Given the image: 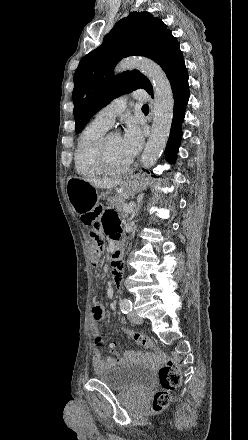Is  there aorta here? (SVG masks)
<instances>
[{
	"label": "aorta",
	"mask_w": 248,
	"mask_h": 440,
	"mask_svg": "<svg viewBox=\"0 0 248 440\" xmlns=\"http://www.w3.org/2000/svg\"><path fill=\"white\" fill-rule=\"evenodd\" d=\"M138 69L151 82L154 92V118L141 163L144 169L151 168L161 156L171 130L174 98L172 88L162 68L147 58H128L119 63L116 73Z\"/></svg>",
	"instance_id": "obj_1"
}]
</instances>
